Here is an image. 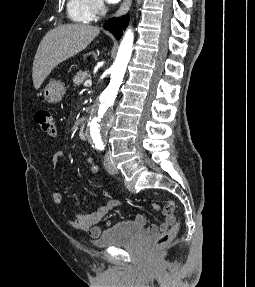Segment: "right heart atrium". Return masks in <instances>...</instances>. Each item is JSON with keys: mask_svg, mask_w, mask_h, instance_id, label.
I'll return each mask as SVG.
<instances>
[{"mask_svg": "<svg viewBox=\"0 0 255 287\" xmlns=\"http://www.w3.org/2000/svg\"><path fill=\"white\" fill-rule=\"evenodd\" d=\"M146 33H152V32H146ZM146 39H152V38H146Z\"/></svg>", "mask_w": 255, "mask_h": 287, "instance_id": "1", "label": "right heart atrium"}]
</instances>
